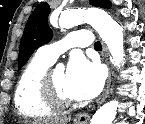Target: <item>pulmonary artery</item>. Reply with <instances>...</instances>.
<instances>
[{
  "label": "pulmonary artery",
  "instance_id": "e3ab8cb5",
  "mask_svg": "<svg viewBox=\"0 0 145 124\" xmlns=\"http://www.w3.org/2000/svg\"><path fill=\"white\" fill-rule=\"evenodd\" d=\"M92 38L88 30H78L69 33L62 40L42 46L38 49L37 55L49 62L53 63L60 54L67 51L69 48L76 47H91Z\"/></svg>",
  "mask_w": 145,
  "mask_h": 124
}]
</instances>
